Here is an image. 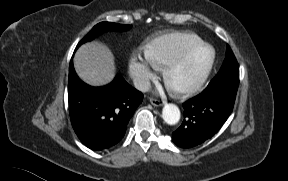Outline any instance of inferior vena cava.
Segmentation results:
<instances>
[{
  "mask_svg": "<svg viewBox=\"0 0 288 181\" xmlns=\"http://www.w3.org/2000/svg\"><path fill=\"white\" fill-rule=\"evenodd\" d=\"M133 84L136 89L142 92H147L151 88L150 81L144 76L135 77L133 80Z\"/></svg>",
  "mask_w": 288,
  "mask_h": 181,
  "instance_id": "1",
  "label": "inferior vena cava"
}]
</instances>
